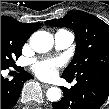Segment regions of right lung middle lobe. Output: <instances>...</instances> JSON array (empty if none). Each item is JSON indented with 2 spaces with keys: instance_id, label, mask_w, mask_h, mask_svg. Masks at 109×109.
<instances>
[{
  "instance_id": "1",
  "label": "right lung middle lobe",
  "mask_w": 109,
  "mask_h": 109,
  "mask_svg": "<svg viewBox=\"0 0 109 109\" xmlns=\"http://www.w3.org/2000/svg\"><path fill=\"white\" fill-rule=\"evenodd\" d=\"M25 41L15 35L1 30V69L14 64V59L22 54Z\"/></svg>"
}]
</instances>
